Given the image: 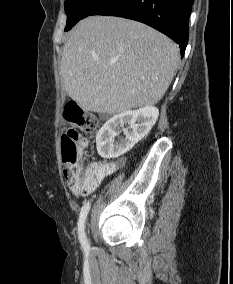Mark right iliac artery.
Wrapping results in <instances>:
<instances>
[{
	"label": "right iliac artery",
	"instance_id": "right-iliac-artery-1",
	"mask_svg": "<svg viewBox=\"0 0 233 284\" xmlns=\"http://www.w3.org/2000/svg\"><path fill=\"white\" fill-rule=\"evenodd\" d=\"M89 209H90V203L86 202L81 208L79 221H78V237L85 251L89 249L86 234L84 231V224H85Z\"/></svg>",
	"mask_w": 233,
	"mask_h": 284
}]
</instances>
